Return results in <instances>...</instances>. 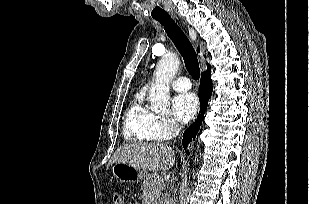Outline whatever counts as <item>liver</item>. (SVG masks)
Listing matches in <instances>:
<instances>
[{
	"instance_id": "liver-1",
	"label": "liver",
	"mask_w": 309,
	"mask_h": 204,
	"mask_svg": "<svg viewBox=\"0 0 309 204\" xmlns=\"http://www.w3.org/2000/svg\"><path fill=\"white\" fill-rule=\"evenodd\" d=\"M117 162L145 171L168 170L175 163V151L164 143H132L117 149L110 163Z\"/></svg>"
}]
</instances>
